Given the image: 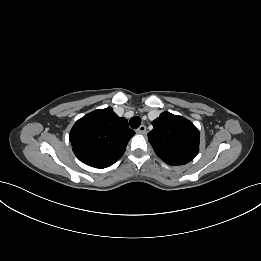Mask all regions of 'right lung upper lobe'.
Listing matches in <instances>:
<instances>
[{
    "label": "right lung upper lobe",
    "mask_w": 261,
    "mask_h": 261,
    "mask_svg": "<svg viewBox=\"0 0 261 261\" xmlns=\"http://www.w3.org/2000/svg\"><path fill=\"white\" fill-rule=\"evenodd\" d=\"M134 134L127 119L107 107L79 119L70 131L69 140L80 161L102 169L114 164L124 154Z\"/></svg>",
    "instance_id": "1"
}]
</instances>
